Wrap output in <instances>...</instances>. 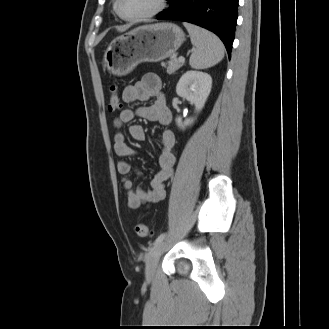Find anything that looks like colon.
Returning <instances> with one entry per match:
<instances>
[{"label":"colon","instance_id":"colon-1","mask_svg":"<svg viewBox=\"0 0 329 329\" xmlns=\"http://www.w3.org/2000/svg\"><path fill=\"white\" fill-rule=\"evenodd\" d=\"M110 96H109V110L111 112H116L121 108V101L118 94V89L116 85L110 86ZM135 233L139 237H148L151 235V230L147 225L140 223L135 227Z\"/></svg>","mask_w":329,"mask_h":329}]
</instances>
